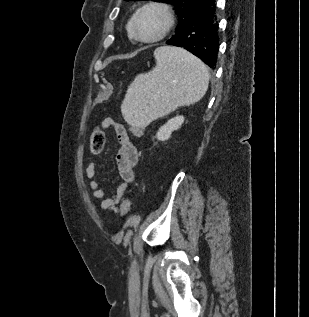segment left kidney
<instances>
[{
  "instance_id": "1",
  "label": "left kidney",
  "mask_w": 309,
  "mask_h": 317,
  "mask_svg": "<svg viewBox=\"0 0 309 317\" xmlns=\"http://www.w3.org/2000/svg\"><path fill=\"white\" fill-rule=\"evenodd\" d=\"M184 123L183 116H176L169 119L161 126L156 134V138L160 141L168 140L173 131L177 130Z\"/></svg>"
}]
</instances>
